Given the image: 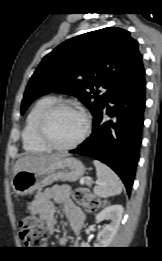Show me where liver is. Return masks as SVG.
Instances as JSON below:
<instances>
[{"instance_id": "1", "label": "liver", "mask_w": 162, "mask_h": 261, "mask_svg": "<svg viewBox=\"0 0 162 261\" xmlns=\"http://www.w3.org/2000/svg\"><path fill=\"white\" fill-rule=\"evenodd\" d=\"M65 156V154L26 155L19 158L13 167V176L21 170H35Z\"/></svg>"}]
</instances>
